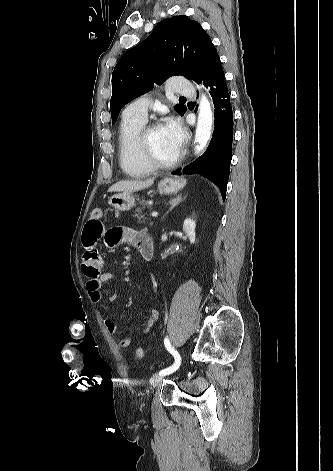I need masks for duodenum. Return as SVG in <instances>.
<instances>
[{
    "label": "duodenum",
    "mask_w": 333,
    "mask_h": 471,
    "mask_svg": "<svg viewBox=\"0 0 333 471\" xmlns=\"http://www.w3.org/2000/svg\"><path fill=\"white\" fill-rule=\"evenodd\" d=\"M139 251L142 255V257L146 260L149 261L153 257L154 253V245L153 241L151 238H146L144 239L139 246Z\"/></svg>",
    "instance_id": "duodenum-1"
}]
</instances>
